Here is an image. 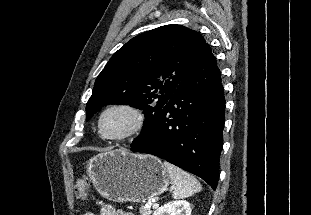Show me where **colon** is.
Instances as JSON below:
<instances>
[{
	"label": "colon",
	"mask_w": 311,
	"mask_h": 215,
	"mask_svg": "<svg viewBox=\"0 0 311 215\" xmlns=\"http://www.w3.org/2000/svg\"><path fill=\"white\" fill-rule=\"evenodd\" d=\"M89 184L86 178H80L75 186V194L79 199H86L88 196Z\"/></svg>",
	"instance_id": "obj_1"
}]
</instances>
